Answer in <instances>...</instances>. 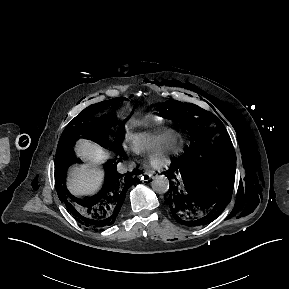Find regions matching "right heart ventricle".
<instances>
[{
  "mask_svg": "<svg viewBox=\"0 0 289 289\" xmlns=\"http://www.w3.org/2000/svg\"><path fill=\"white\" fill-rule=\"evenodd\" d=\"M178 137L174 130L143 131L130 136L127 140L132 151L138 154H152Z\"/></svg>",
  "mask_w": 289,
  "mask_h": 289,
  "instance_id": "obj_1",
  "label": "right heart ventricle"
}]
</instances>
